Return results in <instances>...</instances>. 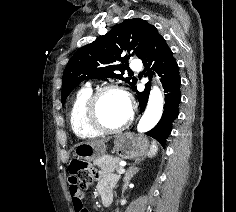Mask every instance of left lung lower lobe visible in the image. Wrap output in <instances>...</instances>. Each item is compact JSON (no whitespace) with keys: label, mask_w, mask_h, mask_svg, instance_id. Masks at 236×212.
Instances as JSON below:
<instances>
[{"label":"left lung lower lobe","mask_w":236,"mask_h":212,"mask_svg":"<svg viewBox=\"0 0 236 212\" xmlns=\"http://www.w3.org/2000/svg\"><path fill=\"white\" fill-rule=\"evenodd\" d=\"M141 59L150 77L154 74L152 70H155L161 77L165 92L164 111L159 122L147 132V135L153 137L165 147L166 138L171 133L172 122L178 116V107L181 100V80L179 67L174 59L173 52L156 27L150 32L146 52ZM150 66H152L151 69H149ZM135 91L139 98L140 113H142L148 101L150 83L146 84L143 92H138L136 88Z\"/></svg>","instance_id":"0a47b994"}]
</instances>
